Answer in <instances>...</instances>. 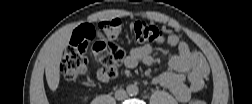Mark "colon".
Here are the masks:
<instances>
[{
    "mask_svg": "<svg viewBox=\"0 0 252 104\" xmlns=\"http://www.w3.org/2000/svg\"><path fill=\"white\" fill-rule=\"evenodd\" d=\"M130 30L134 40L138 43L151 44L162 39L164 30L142 19H136L130 23ZM124 33V27L119 19H111L99 23L80 25L72 34L70 45L65 49L60 72L68 81H74L86 74L88 61L84 52L90 42L93 44V52L99 62L106 69L110 78L118 74V66L123 57V49L119 45ZM193 104L202 103L200 98H194Z\"/></svg>",
    "mask_w": 252,
    "mask_h": 104,
    "instance_id": "obj_1",
    "label": "colon"
}]
</instances>
